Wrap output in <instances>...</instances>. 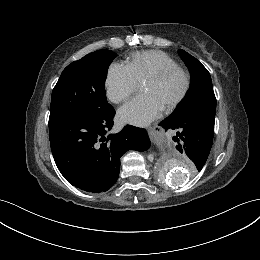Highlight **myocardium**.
Here are the masks:
<instances>
[{
    "instance_id": "1",
    "label": "myocardium",
    "mask_w": 260,
    "mask_h": 260,
    "mask_svg": "<svg viewBox=\"0 0 260 260\" xmlns=\"http://www.w3.org/2000/svg\"><path fill=\"white\" fill-rule=\"evenodd\" d=\"M177 73H179L183 76L184 87H183L182 91L180 92V94L165 106L167 109L175 108L177 105H179L184 100V98L188 94L190 87H191V77H190L189 72L180 66L169 67V68L162 69L159 72L151 75L144 81V83H160V82L164 81L165 79H167L168 77H170L174 74H177Z\"/></svg>"
}]
</instances>
